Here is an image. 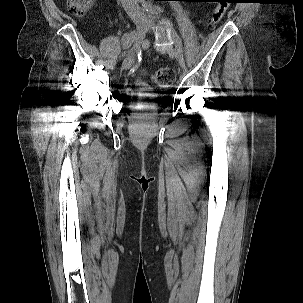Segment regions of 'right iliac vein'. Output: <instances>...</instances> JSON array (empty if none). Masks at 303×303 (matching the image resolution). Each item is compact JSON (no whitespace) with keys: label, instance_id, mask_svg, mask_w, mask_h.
<instances>
[{"label":"right iliac vein","instance_id":"right-iliac-vein-1","mask_svg":"<svg viewBox=\"0 0 303 303\" xmlns=\"http://www.w3.org/2000/svg\"><path fill=\"white\" fill-rule=\"evenodd\" d=\"M147 27H148V24L146 21H144V20L136 21L135 43H134L131 53L124 59V61L122 63V69L129 68L131 66V64L134 62L135 55L139 51L141 44L143 43V40L145 38Z\"/></svg>","mask_w":303,"mask_h":303}]
</instances>
